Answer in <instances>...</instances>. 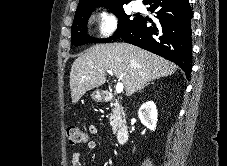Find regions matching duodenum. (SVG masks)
Returning a JSON list of instances; mask_svg holds the SVG:
<instances>
[{"label":"duodenum","mask_w":227,"mask_h":166,"mask_svg":"<svg viewBox=\"0 0 227 166\" xmlns=\"http://www.w3.org/2000/svg\"><path fill=\"white\" fill-rule=\"evenodd\" d=\"M107 101H115L116 99L113 97V95L108 94L106 97ZM129 138V129L126 126H122L119 128L117 132V140L119 144H124Z\"/></svg>","instance_id":"obj_1"}]
</instances>
